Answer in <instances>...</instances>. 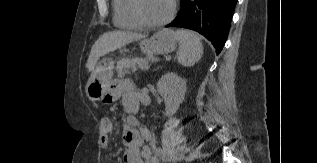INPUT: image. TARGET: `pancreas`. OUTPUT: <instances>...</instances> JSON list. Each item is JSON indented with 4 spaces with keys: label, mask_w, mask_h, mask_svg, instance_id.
I'll return each mask as SVG.
<instances>
[{
    "label": "pancreas",
    "mask_w": 317,
    "mask_h": 163,
    "mask_svg": "<svg viewBox=\"0 0 317 163\" xmlns=\"http://www.w3.org/2000/svg\"><path fill=\"white\" fill-rule=\"evenodd\" d=\"M150 58L134 57V58H122L117 61L116 72L118 76H124L129 74L130 71L135 72L138 68L149 67Z\"/></svg>",
    "instance_id": "cf45deb5"
}]
</instances>
